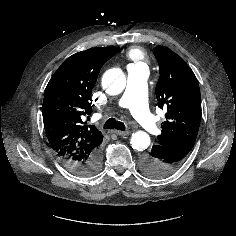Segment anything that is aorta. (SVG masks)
I'll list each match as a JSON object with an SVG mask.
<instances>
[{
    "mask_svg": "<svg viewBox=\"0 0 236 236\" xmlns=\"http://www.w3.org/2000/svg\"><path fill=\"white\" fill-rule=\"evenodd\" d=\"M102 85L108 94H120L126 86V77L124 72L119 68L107 70L103 75ZM130 144L133 149L143 151L150 145V136L144 131H137L132 134Z\"/></svg>",
    "mask_w": 236,
    "mask_h": 236,
    "instance_id": "aorta-1",
    "label": "aorta"
}]
</instances>
